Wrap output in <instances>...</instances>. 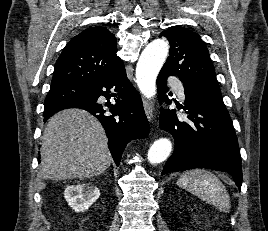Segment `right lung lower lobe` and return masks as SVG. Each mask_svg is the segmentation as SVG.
I'll list each match as a JSON object with an SVG mask.
<instances>
[{"label":"right lung lower lobe","mask_w":268,"mask_h":231,"mask_svg":"<svg viewBox=\"0 0 268 231\" xmlns=\"http://www.w3.org/2000/svg\"><path fill=\"white\" fill-rule=\"evenodd\" d=\"M84 98L69 100L44 110V122L65 108H81L94 115L103 125L109 138V149L118 166L128 142L145 138L149 134V123L143 110L141 98L126 76L124 64L94 81L87 87ZM113 89L116 94H109ZM100 96L115 97V104H101ZM40 161V160H39Z\"/></svg>","instance_id":"98d812e1"}]
</instances>
